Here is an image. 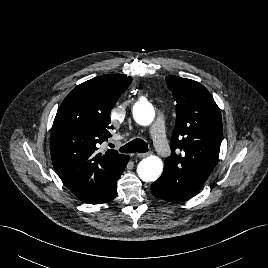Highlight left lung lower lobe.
I'll use <instances>...</instances> for the list:
<instances>
[{
  "mask_svg": "<svg viewBox=\"0 0 268 268\" xmlns=\"http://www.w3.org/2000/svg\"><path fill=\"white\" fill-rule=\"evenodd\" d=\"M151 191L154 196L171 202H182L194 197L190 194L174 189L169 185L161 183L158 180L151 185Z\"/></svg>",
  "mask_w": 268,
  "mask_h": 268,
  "instance_id": "obj_1",
  "label": "left lung lower lobe"
}]
</instances>
